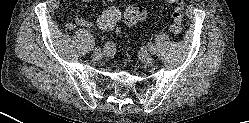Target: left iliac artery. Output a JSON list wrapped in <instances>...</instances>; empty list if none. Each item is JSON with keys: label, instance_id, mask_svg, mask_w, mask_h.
Here are the masks:
<instances>
[{"label": "left iliac artery", "instance_id": "obj_1", "mask_svg": "<svg viewBox=\"0 0 249 123\" xmlns=\"http://www.w3.org/2000/svg\"><path fill=\"white\" fill-rule=\"evenodd\" d=\"M149 51H150V53H152V54H155V48H154V46L152 45V44H150L149 45Z\"/></svg>", "mask_w": 249, "mask_h": 123}]
</instances>
